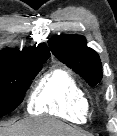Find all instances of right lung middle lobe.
Masks as SVG:
<instances>
[{"instance_id":"obj_1","label":"right lung middle lobe","mask_w":117,"mask_h":136,"mask_svg":"<svg viewBox=\"0 0 117 136\" xmlns=\"http://www.w3.org/2000/svg\"><path fill=\"white\" fill-rule=\"evenodd\" d=\"M46 60L40 59L26 64L0 62V117L18 107Z\"/></svg>"}]
</instances>
